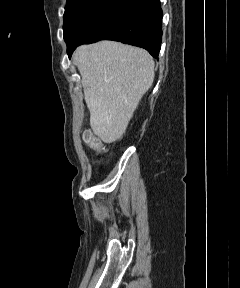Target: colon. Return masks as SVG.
<instances>
[{
	"mask_svg": "<svg viewBox=\"0 0 240 288\" xmlns=\"http://www.w3.org/2000/svg\"><path fill=\"white\" fill-rule=\"evenodd\" d=\"M83 140L90 148L97 151L98 153L105 152V147L103 146L101 141L95 136H93L90 132L83 133Z\"/></svg>",
	"mask_w": 240,
	"mask_h": 288,
	"instance_id": "obj_1",
	"label": "colon"
}]
</instances>
